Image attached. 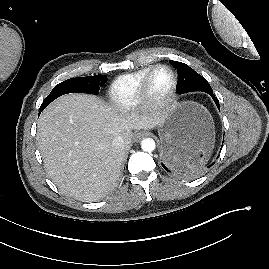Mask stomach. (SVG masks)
Wrapping results in <instances>:
<instances>
[{"label": "stomach", "instance_id": "obj_1", "mask_svg": "<svg viewBox=\"0 0 269 269\" xmlns=\"http://www.w3.org/2000/svg\"><path fill=\"white\" fill-rule=\"evenodd\" d=\"M160 151L175 145L181 155L180 166L199 167L210 157L215 132L209 112L200 104L187 101L173 104L158 126Z\"/></svg>", "mask_w": 269, "mask_h": 269}]
</instances>
